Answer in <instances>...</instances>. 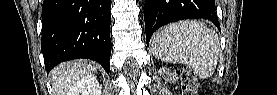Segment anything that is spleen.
<instances>
[{"mask_svg":"<svg viewBox=\"0 0 277 95\" xmlns=\"http://www.w3.org/2000/svg\"><path fill=\"white\" fill-rule=\"evenodd\" d=\"M220 44L215 30L206 24L185 20L169 24L152 41V54L171 64L191 66L200 78L215 72Z\"/></svg>","mask_w":277,"mask_h":95,"instance_id":"spleen-1","label":"spleen"}]
</instances>
